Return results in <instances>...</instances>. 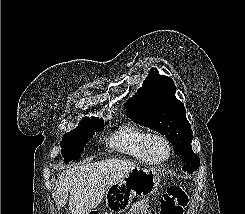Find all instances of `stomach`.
<instances>
[{"label": "stomach", "instance_id": "1", "mask_svg": "<svg viewBox=\"0 0 245 214\" xmlns=\"http://www.w3.org/2000/svg\"><path fill=\"white\" fill-rule=\"evenodd\" d=\"M160 184L159 173L151 168L135 167L106 191V205L111 212H124L136 195L152 194Z\"/></svg>", "mask_w": 245, "mask_h": 214}]
</instances>
